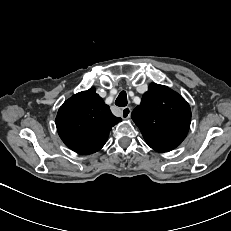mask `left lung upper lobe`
I'll use <instances>...</instances> for the list:
<instances>
[{
    "mask_svg": "<svg viewBox=\"0 0 231 231\" xmlns=\"http://www.w3.org/2000/svg\"><path fill=\"white\" fill-rule=\"evenodd\" d=\"M131 117L152 149L167 152L185 139L190 128L191 110L177 92L151 83Z\"/></svg>",
    "mask_w": 231,
    "mask_h": 231,
    "instance_id": "5c2ea615",
    "label": "left lung upper lobe"
}]
</instances>
